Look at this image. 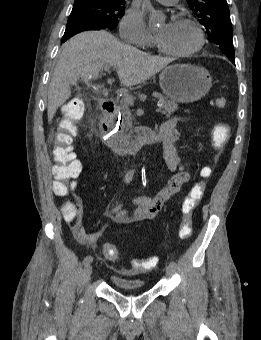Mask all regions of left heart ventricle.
<instances>
[{"mask_svg": "<svg viewBox=\"0 0 261 340\" xmlns=\"http://www.w3.org/2000/svg\"><path fill=\"white\" fill-rule=\"evenodd\" d=\"M157 37L167 49L173 51H187L197 43L194 29L180 22H175L170 29L166 25L161 26L157 31Z\"/></svg>", "mask_w": 261, "mask_h": 340, "instance_id": "obj_1", "label": "left heart ventricle"}]
</instances>
